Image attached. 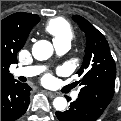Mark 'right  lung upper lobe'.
I'll return each mask as SVG.
<instances>
[{
	"instance_id": "1",
	"label": "right lung upper lobe",
	"mask_w": 121,
	"mask_h": 121,
	"mask_svg": "<svg viewBox=\"0 0 121 121\" xmlns=\"http://www.w3.org/2000/svg\"><path fill=\"white\" fill-rule=\"evenodd\" d=\"M39 20L38 15L19 12L1 21V81L13 79L9 67L17 63L18 51Z\"/></svg>"
}]
</instances>
